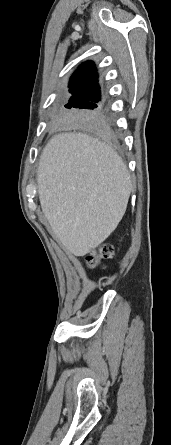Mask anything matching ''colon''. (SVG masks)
<instances>
[{"label": "colon", "mask_w": 171, "mask_h": 445, "mask_svg": "<svg viewBox=\"0 0 171 445\" xmlns=\"http://www.w3.org/2000/svg\"><path fill=\"white\" fill-rule=\"evenodd\" d=\"M112 253H113V249H112V247H111V246H107V245H105V246H103V247L99 250V254H98V255H99L100 257H108V256H111ZM95 259H96V254H95V253H91V254H89V256L87 257V261H88L90 264H94Z\"/></svg>", "instance_id": "obj_1"}]
</instances>
